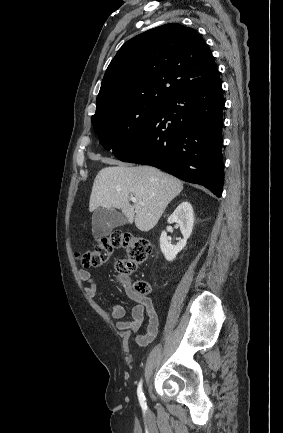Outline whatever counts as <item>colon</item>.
Wrapping results in <instances>:
<instances>
[{
    "label": "colon",
    "instance_id": "5ec220e1",
    "mask_svg": "<svg viewBox=\"0 0 283 433\" xmlns=\"http://www.w3.org/2000/svg\"><path fill=\"white\" fill-rule=\"evenodd\" d=\"M117 249H123L127 257L116 262V269L120 274L127 275L149 258L152 245L143 237L116 230L98 239L95 246L81 252L79 258L86 268H100L111 262ZM133 290L137 294L146 296L150 293V285L146 281L139 280L133 284Z\"/></svg>",
    "mask_w": 283,
    "mask_h": 433
}]
</instances>
